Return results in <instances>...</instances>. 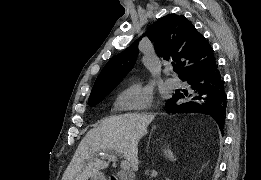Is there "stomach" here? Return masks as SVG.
I'll return each instance as SVG.
<instances>
[{
	"label": "stomach",
	"mask_w": 261,
	"mask_h": 180,
	"mask_svg": "<svg viewBox=\"0 0 261 180\" xmlns=\"http://www.w3.org/2000/svg\"><path fill=\"white\" fill-rule=\"evenodd\" d=\"M90 180H106L102 172H97L90 177Z\"/></svg>",
	"instance_id": "1"
}]
</instances>
